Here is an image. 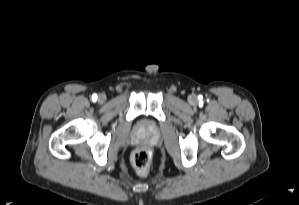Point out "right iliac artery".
<instances>
[{
    "label": "right iliac artery",
    "mask_w": 299,
    "mask_h": 205,
    "mask_svg": "<svg viewBox=\"0 0 299 205\" xmlns=\"http://www.w3.org/2000/svg\"><path fill=\"white\" fill-rule=\"evenodd\" d=\"M92 100H93V101H96V100H97V95H96V94H93V95H92Z\"/></svg>",
    "instance_id": "1"
}]
</instances>
